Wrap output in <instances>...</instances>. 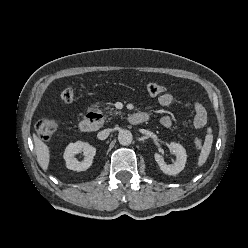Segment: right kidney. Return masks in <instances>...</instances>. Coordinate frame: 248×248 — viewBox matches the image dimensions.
I'll use <instances>...</instances> for the list:
<instances>
[{
  "instance_id": "1",
  "label": "right kidney",
  "mask_w": 248,
  "mask_h": 248,
  "mask_svg": "<svg viewBox=\"0 0 248 248\" xmlns=\"http://www.w3.org/2000/svg\"><path fill=\"white\" fill-rule=\"evenodd\" d=\"M83 152L84 160L78 161L75 155ZM96 154V148L88 143L77 141L75 143H70L64 152V159L66 161V167L74 171H85L87 170L93 162L94 156Z\"/></svg>"
}]
</instances>
